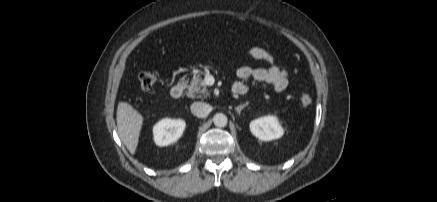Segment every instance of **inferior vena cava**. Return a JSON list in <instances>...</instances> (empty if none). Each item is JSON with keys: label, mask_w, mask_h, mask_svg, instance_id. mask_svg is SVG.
I'll use <instances>...</instances> for the list:
<instances>
[{"label": "inferior vena cava", "mask_w": 437, "mask_h": 202, "mask_svg": "<svg viewBox=\"0 0 437 202\" xmlns=\"http://www.w3.org/2000/svg\"><path fill=\"white\" fill-rule=\"evenodd\" d=\"M190 109L192 114L199 118L207 117L211 111L210 105L204 102H194L191 104Z\"/></svg>", "instance_id": "obj_1"}]
</instances>
